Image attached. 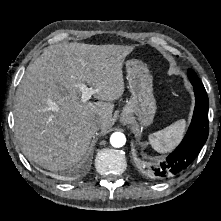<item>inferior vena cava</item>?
Here are the masks:
<instances>
[{"label": "inferior vena cava", "mask_w": 221, "mask_h": 221, "mask_svg": "<svg viewBox=\"0 0 221 221\" xmlns=\"http://www.w3.org/2000/svg\"><path fill=\"white\" fill-rule=\"evenodd\" d=\"M101 124H102V119L101 118H96V119H93L89 122V127L92 131H97L100 129L101 127Z\"/></svg>", "instance_id": "602c4592"}]
</instances>
